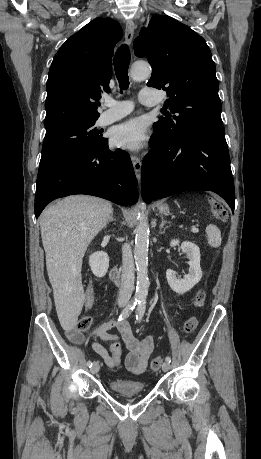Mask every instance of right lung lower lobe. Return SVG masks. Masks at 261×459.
Returning <instances> with one entry per match:
<instances>
[{"instance_id":"obj_1","label":"right lung lower lobe","mask_w":261,"mask_h":459,"mask_svg":"<svg viewBox=\"0 0 261 459\" xmlns=\"http://www.w3.org/2000/svg\"><path fill=\"white\" fill-rule=\"evenodd\" d=\"M88 194L119 205L138 200L137 180L129 155L108 149V140L94 150L64 157L39 170L35 216L56 198Z\"/></svg>"}]
</instances>
